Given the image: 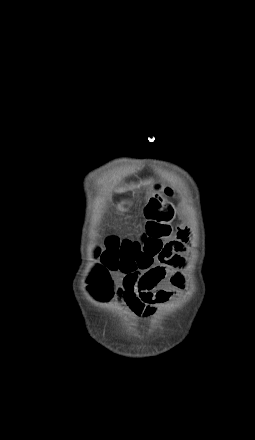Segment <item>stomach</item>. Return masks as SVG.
Here are the masks:
<instances>
[{"label":"stomach","instance_id":"stomach-1","mask_svg":"<svg viewBox=\"0 0 255 440\" xmlns=\"http://www.w3.org/2000/svg\"><path fill=\"white\" fill-rule=\"evenodd\" d=\"M129 207H130V202L128 201H124L118 206L119 210L121 211H126L128 210Z\"/></svg>","mask_w":255,"mask_h":440}]
</instances>
